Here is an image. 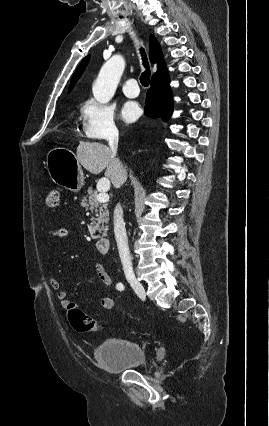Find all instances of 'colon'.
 <instances>
[{
	"label": "colon",
	"mask_w": 269,
	"mask_h": 426,
	"mask_svg": "<svg viewBox=\"0 0 269 426\" xmlns=\"http://www.w3.org/2000/svg\"><path fill=\"white\" fill-rule=\"evenodd\" d=\"M60 201L58 189L49 190L44 196V203L48 208H58ZM68 318L73 328L78 332L99 331L105 326L96 319L86 315L81 309L71 307Z\"/></svg>",
	"instance_id": "colon-1"
}]
</instances>
